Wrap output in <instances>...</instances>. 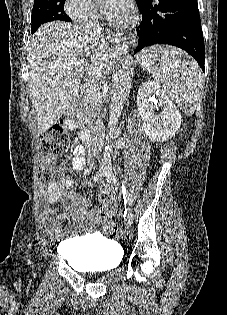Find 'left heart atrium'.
Masks as SVG:
<instances>
[{
  "label": "left heart atrium",
  "instance_id": "obj_1",
  "mask_svg": "<svg viewBox=\"0 0 227 315\" xmlns=\"http://www.w3.org/2000/svg\"><path fill=\"white\" fill-rule=\"evenodd\" d=\"M101 8L107 18L116 23H123L129 18L130 0H101Z\"/></svg>",
  "mask_w": 227,
  "mask_h": 315
}]
</instances>
